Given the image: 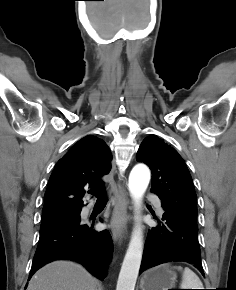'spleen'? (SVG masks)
<instances>
[{"instance_id": "1", "label": "spleen", "mask_w": 236, "mask_h": 290, "mask_svg": "<svg viewBox=\"0 0 236 290\" xmlns=\"http://www.w3.org/2000/svg\"><path fill=\"white\" fill-rule=\"evenodd\" d=\"M182 270V267H176ZM181 289H203V284L199 277L188 267L183 270Z\"/></svg>"}]
</instances>
